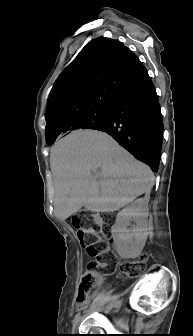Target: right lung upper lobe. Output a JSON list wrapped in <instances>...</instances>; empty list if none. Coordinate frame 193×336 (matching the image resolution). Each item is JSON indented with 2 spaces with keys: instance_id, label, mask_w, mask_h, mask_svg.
<instances>
[{
  "instance_id": "right-lung-upper-lobe-1",
  "label": "right lung upper lobe",
  "mask_w": 193,
  "mask_h": 336,
  "mask_svg": "<svg viewBox=\"0 0 193 336\" xmlns=\"http://www.w3.org/2000/svg\"><path fill=\"white\" fill-rule=\"evenodd\" d=\"M142 63L118 40L89 42L53 85L46 110V140L74 130L76 119L109 108Z\"/></svg>"
}]
</instances>
